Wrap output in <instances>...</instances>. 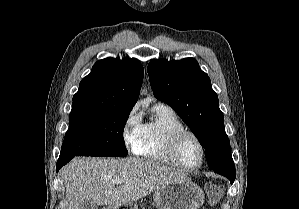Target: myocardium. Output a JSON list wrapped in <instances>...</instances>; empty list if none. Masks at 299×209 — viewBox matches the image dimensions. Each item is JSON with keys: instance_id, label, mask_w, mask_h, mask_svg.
Wrapping results in <instances>:
<instances>
[{"instance_id": "obj_1", "label": "myocardium", "mask_w": 299, "mask_h": 209, "mask_svg": "<svg viewBox=\"0 0 299 209\" xmlns=\"http://www.w3.org/2000/svg\"><path fill=\"white\" fill-rule=\"evenodd\" d=\"M186 136H190V137L194 138L201 148V161L196 166H186L179 159V146H180L181 140ZM167 154H168L172 164L175 167L180 168L182 170H186V171H193V170H197V169L201 168L202 165L204 164L205 159H206V148H205L203 141L196 133H194L190 130L183 129V130L175 131L169 135L168 144H167Z\"/></svg>"}]
</instances>
